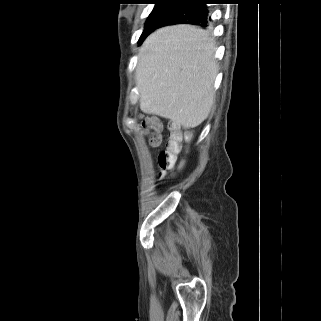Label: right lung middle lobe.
I'll list each match as a JSON object with an SVG mask.
<instances>
[{
    "label": "right lung middle lobe",
    "instance_id": "right-lung-middle-lobe-1",
    "mask_svg": "<svg viewBox=\"0 0 321 321\" xmlns=\"http://www.w3.org/2000/svg\"><path fill=\"white\" fill-rule=\"evenodd\" d=\"M174 7L175 5L173 4V2H169V1L156 2L153 11L150 13L149 17L147 18L145 29L139 39V44L142 43L143 40L146 38V36L154 30L159 20Z\"/></svg>",
    "mask_w": 321,
    "mask_h": 321
}]
</instances>
